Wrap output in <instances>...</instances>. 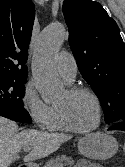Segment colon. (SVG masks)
<instances>
[{
    "label": "colon",
    "instance_id": "colon-1",
    "mask_svg": "<svg viewBox=\"0 0 125 167\" xmlns=\"http://www.w3.org/2000/svg\"><path fill=\"white\" fill-rule=\"evenodd\" d=\"M123 151H124V153H125V144H124V146H123Z\"/></svg>",
    "mask_w": 125,
    "mask_h": 167
}]
</instances>
